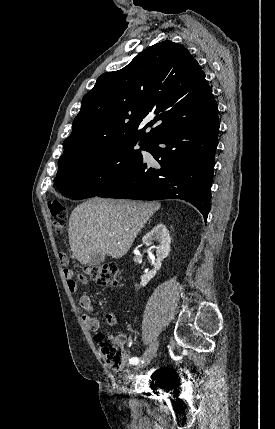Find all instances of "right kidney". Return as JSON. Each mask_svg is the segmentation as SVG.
<instances>
[{
	"label": "right kidney",
	"mask_w": 275,
	"mask_h": 429,
	"mask_svg": "<svg viewBox=\"0 0 275 429\" xmlns=\"http://www.w3.org/2000/svg\"><path fill=\"white\" fill-rule=\"evenodd\" d=\"M142 241L143 244L156 248L157 256L154 268L141 276L140 285L144 287L156 275L157 271L161 267L162 261L168 256L170 252L171 238L166 226L164 224H158L143 237ZM155 243H158V245L155 246Z\"/></svg>",
	"instance_id": "1"
}]
</instances>
